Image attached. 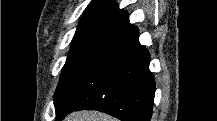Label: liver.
Returning <instances> with one entry per match:
<instances>
[{"label": "liver", "mask_w": 217, "mask_h": 121, "mask_svg": "<svg viewBox=\"0 0 217 121\" xmlns=\"http://www.w3.org/2000/svg\"><path fill=\"white\" fill-rule=\"evenodd\" d=\"M65 121H117L115 118L95 111H81L71 113Z\"/></svg>", "instance_id": "obj_1"}]
</instances>
